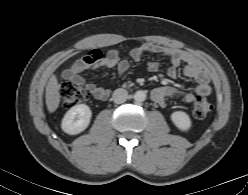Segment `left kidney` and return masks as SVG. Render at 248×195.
I'll return each instance as SVG.
<instances>
[{
  "mask_svg": "<svg viewBox=\"0 0 248 195\" xmlns=\"http://www.w3.org/2000/svg\"><path fill=\"white\" fill-rule=\"evenodd\" d=\"M171 120L174 125L181 131H188L192 125L190 117L183 111L173 112L171 114Z\"/></svg>",
  "mask_w": 248,
  "mask_h": 195,
  "instance_id": "5707ae66",
  "label": "left kidney"
}]
</instances>
